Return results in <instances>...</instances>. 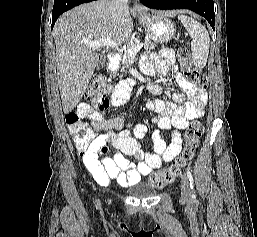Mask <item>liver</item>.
<instances>
[{"label": "liver", "mask_w": 257, "mask_h": 237, "mask_svg": "<svg viewBox=\"0 0 257 237\" xmlns=\"http://www.w3.org/2000/svg\"><path fill=\"white\" fill-rule=\"evenodd\" d=\"M173 17L174 11L163 13ZM133 21L128 7L115 0H98L64 13L54 26L57 79L63 111L69 113L80 102L99 62L97 50L84 41L109 38L121 44L131 37Z\"/></svg>", "instance_id": "liver-1"}]
</instances>
